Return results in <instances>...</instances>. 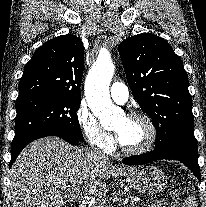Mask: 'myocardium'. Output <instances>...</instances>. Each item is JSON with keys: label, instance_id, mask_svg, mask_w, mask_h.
<instances>
[{"label": "myocardium", "instance_id": "1", "mask_svg": "<svg viewBox=\"0 0 206 207\" xmlns=\"http://www.w3.org/2000/svg\"><path fill=\"white\" fill-rule=\"evenodd\" d=\"M128 120H141L143 121L149 130V137L145 145L136 148V149H128L124 147L119 140L117 139V144L119 146L120 151L127 156H139L142 154L148 153L155 145L158 137V130L155 122L152 120V118L142 112H132L126 116Z\"/></svg>", "mask_w": 206, "mask_h": 207}]
</instances>
